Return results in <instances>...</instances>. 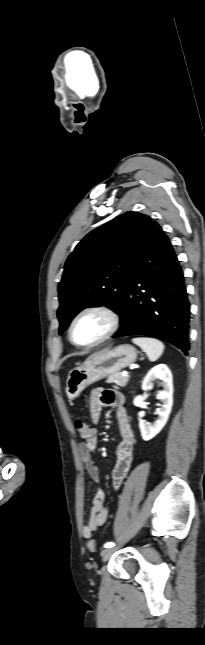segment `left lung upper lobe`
I'll return each mask as SVG.
<instances>
[{
    "mask_svg": "<svg viewBox=\"0 0 205 645\" xmlns=\"http://www.w3.org/2000/svg\"><path fill=\"white\" fill-rule=\"evenodd\" d=\"M150 223L145 214L126 212L78 243L58 286L60 334L88 306L104 305L120 315L131 264Z\"/></svg>",
    "mask_w": 205,
    "mask_h": 645,
    "instance_id": "left-lung-upper-lobe-1",
    "label": "left lung upper lobe"
}]
</instances>
